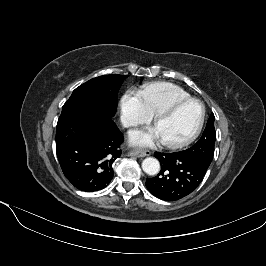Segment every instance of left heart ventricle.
I'll list each match as a JSON object with an SVG mask.
<instances>
[{"instance_id":"b2bd125f","label":"left heart ventricle","mask_w":266,"mask_h":266,"mask_svg":"<svg viewBox=\"0 0 266 266\" xmlns=\"http://www.w3.org/2000/svg\"><path fill=\"white\" fill-rule=\"evenodd\" d=\"M200 118V105L189 103L178 109L171 116L162 119L155 129L162 141H180L193 133Z\"/></svg>"}]
</instances>
